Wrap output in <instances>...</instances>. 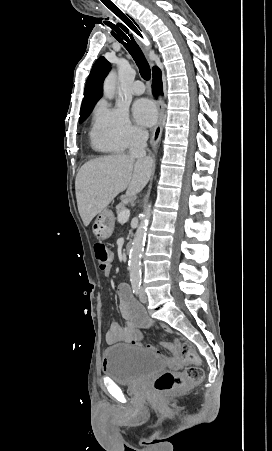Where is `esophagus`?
Masks as SVG:
<instances>
[{"instance_id":"obj_1","label":"esophagus","mask_w":272,"mask_h":451,"mask_svg":"<svg viewBox=\"0 0 272 451\" xmlns=\"http://www.w3.org/2000/svg\"><path fill=\"white\" fill-rule=\"evenodd\" d=\"M134 22L135 27L130 28L132 33L144 44L146 51H149L151 43L147 35L143 32V29L141 28L137 20L134 19ZM156 105L159 112V118L154 129L152 130L150 143L153 148L156 147L162 135L163 128L162 121L164 116V107L161 96H159V99L156 101Z\"/></svg>"}]
</instances>
